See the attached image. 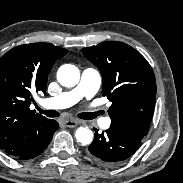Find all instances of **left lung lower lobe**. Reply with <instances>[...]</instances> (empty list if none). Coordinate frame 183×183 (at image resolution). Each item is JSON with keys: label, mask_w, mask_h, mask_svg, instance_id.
I'll list each match as a JSON object with an SVG mask.
<instances>
[{"label": "left lung lower lobe", "mask_w": 183, "mask_h": 183, "mask_svg": "<svg viewBox=\"0 0 183 183\" xmlns=\"http://www.w3.org/2000/svg\"><path fill=\"white\" fill-rule=\"evenodd\" d=\"M95 137L86 152L87 157L104 166L117 164L136 152L141 145V138L114 126L102 134L95 129Z\"/></svg>", "instance_id": "obj_1"}]
</instances>
